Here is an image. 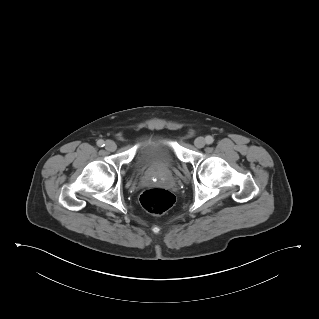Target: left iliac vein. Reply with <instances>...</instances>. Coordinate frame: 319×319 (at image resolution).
<instances>
[{"instance_id":"4c4485c4","label":"left iliac vein","mask_w":319,"mask_h":319,"mask_svg":"<svg viewBox=\"0 0 319 319\" xmlns=\"http://www.w3.org/2000/svg\"><path fill=\"white\" fill-rule=\"evenodd\" d=\"M194 144L197 148H203L206 144V141L203 137H197L194 141Z\"/></svg>"}]
</instances>
